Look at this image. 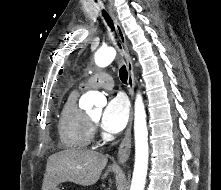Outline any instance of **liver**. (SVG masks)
Wrapping results in <instances>:
<instances>
[{"mask_svg": "<svg viewBox=\"0 0 221 190\" xmlns=\"http://www.w3.org/2000/svg\"><path fill=\"white\" fill-rule=\"evenodd\" d=\"M107 157L89 149H66L52 154L46 165L42 190H55L60 183L73 182L82 186L95 184L107 164ZM118 165H110L109 172L119 171Z\"/></svg>", "mask_w": 221, "mask_h": 190, "instance_id": "obj_1", "label": "liver"}]
</instances>
